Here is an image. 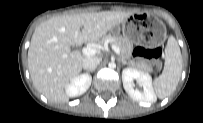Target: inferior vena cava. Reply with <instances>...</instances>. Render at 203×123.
<instances>
[{"label":"inferior vena cava","instance_id":"obj_1","mask_svg":"<svg viewBox=\"0 0 203 123\" xmlns=\"http://www.w3.org/2000/svg\"><path fill=\"white\" fill-rule=\"evenodd\" d=\"M101 58L98 57H88L82 61V67L85 70H95L96 67L100 64Z\"/></svg>","mask_w":203,"mask_h":123}]
</instances>
